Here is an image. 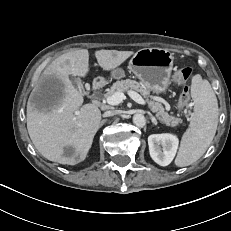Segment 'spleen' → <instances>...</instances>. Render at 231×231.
Instances as JSON below:
<instances>
[{
	"label": "spleen",
	"instance_id": "obj_1",
	"mask_svg": "<svg viewBox=\"0 0 231 231\" xmlns=\"http://www.w3.org/2000/svg\"><path fill=\"white\" fill-rule=\"evenodd\" d=\"M191 96L194 113L189 128L183 134L175 165L185 167L196 162L210 146L218 125V102L210 83L195 75Z\"/></svg>",
	"mask_w": 231,
	"mask_h": 231
}]
</instances>
